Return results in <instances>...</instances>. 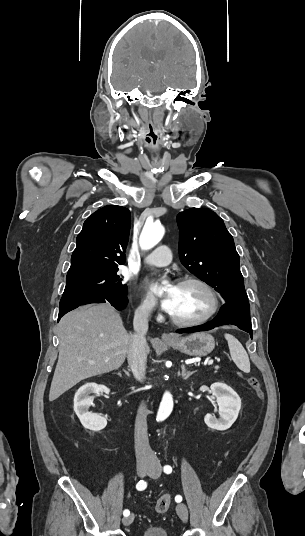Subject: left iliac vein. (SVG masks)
Wrapping results in <instances>:
<instances>
[{
	"instance_id": "left-iliac-vein-1",
	"label": "left iliac vein",
	"mask_w": 305,
	"mask_h": 536,
	"mask_svg": "<svg viewBox=\"0 0 305 536\" xmlns=\"http://www.w3.org/2000/svg\"><path fill=\"white\" fill-rule=\"evenodd\" d=\"M161 471H162L161 467L157 465L152 470H149L147 474L150 477L157 478V477H159ZM176 512H177L178 516L182 519L183 522L187 521V519H188V509H187L185 504H183V503L177 504Z\"/></svg>"
}]
</instances>
